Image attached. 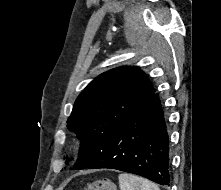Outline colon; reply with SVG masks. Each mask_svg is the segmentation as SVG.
I'll list each match as a JSON object with an SVG mask.
<instances>
[{
  "mask_svg": "<svg viewBox=\"0 0 221 190\" xmlns=\"http://www.w3.org/2000/svg\"><path fill=\"white\" fill-rule=\"evenodd\" d=\"M82 190H116L109 179H98L88 183Z\"/></svg>",
  "mask_w": 221,
  "mask_h": 190,
  "instance_id": "1",
  "label": "colon"
}]
</instances>
